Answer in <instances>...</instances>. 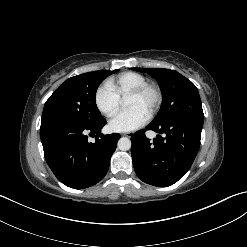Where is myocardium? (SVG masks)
<instances>
[{
  "label": "myocardium",
  "mask_w": 247,
  "mask_h": 247,
  "mask_svg": "<svg viewBox=\"0 0 247 247\" xmlns=\"http://www.w3.org/2000/svg\"><path fill=\"white\" fill-rule=\"evenodd\" d=\"M147 93L153 95V101L148 111V116L152 117L160 108L163 101V93L159 85L155 83H145L132 91H130L126 97H142Z\"/></svg>",
  "instance_id": "1"
}]
</instances>
